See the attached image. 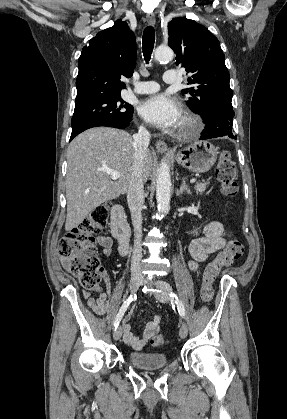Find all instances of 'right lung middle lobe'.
<instances>
[{
  "instance_id": "obj_1",
  "label": "right lung middle lobe",
  "mask_w": 287,
  "mask_h": 419,
  "mask_svg": "<svg viewBox=\"0 0 287 419\" xmlns=\"http://www.w3.org/2000/svg\"><path fill=\"white\" fill-rule=\"evenodd\" d=\"M132 114L133 107L120 96L98 100L75 108L71 120L72 133L95 121L129 122Z\"/></svg>"
}]
</instances>
